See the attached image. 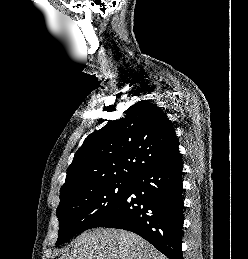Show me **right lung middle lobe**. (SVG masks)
I'll return each instance as SVG.
<instances>
[{"label": "right lung middle lobe", "mask_w": 248, "mask_h": 259, "mask_svg": "<svg viewBox=\"0 0 248 259\" xmlns=\"http://www.w3.org/2000/svg\"><path fill=\"white\" fill-rule=\"evenodd\" d=\"M130 186V181H106L69 190L60 198L57 217L60 222L56 246L75 234L95 228L114 212Z\"/></svg>", "instance_id": "1"}]
</instances>
